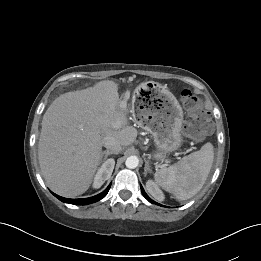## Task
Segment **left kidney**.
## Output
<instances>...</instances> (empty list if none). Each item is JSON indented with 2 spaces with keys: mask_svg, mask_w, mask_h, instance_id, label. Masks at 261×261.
Here are the masks:
<instances>
[{
  "mask_svg": "<svg viewBox=\"0 0 261 261\" xmlns=\"http://www.w3.org/2000/svg\"><path fill=\"white\" fill-rule=\"evenodd\" d=\"M146 188L148 192L158 201L164 200V194L158 187V185L153 180H148L146 182Z\"/></svg>",
  "mask_w": 261,
  "mask_h": 261,
  "instance_id": "obj_1",
  "label": "left kidney"
}]
</instances>
